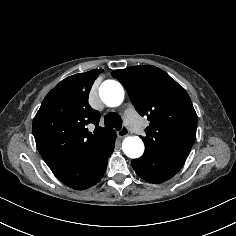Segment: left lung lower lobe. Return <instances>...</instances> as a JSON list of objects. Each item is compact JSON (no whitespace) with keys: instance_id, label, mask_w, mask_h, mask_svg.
Listing matches in <instances>:
<instances>
[{"instance_id":"obj_1","label":"left lung lower lobe","mask_w":236,"mask_h":236,"mask_svg":"<svg viewBox=\"0 0 236 236\" xmlns=\"http://www.w3.org/2000/svg\"><path fill=\"white\" fill-rule=\"evenodd\" d=\"M186 159L163 151H146L132 160L136 174L150 183H162L179 172Z\"/></svg>"}]
</instances>
